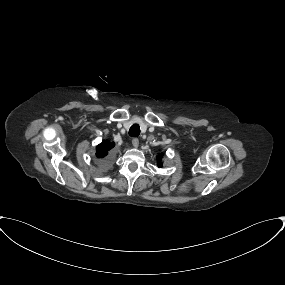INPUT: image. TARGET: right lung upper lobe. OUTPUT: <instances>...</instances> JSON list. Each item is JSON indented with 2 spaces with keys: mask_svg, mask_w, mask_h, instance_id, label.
<instances>
[{
  "mask_svg": "<svg viewBox=\"0 0 285 285\" xmlns=\"http://www.w3.org/2000/svg\"><path fill=\"white\" fill-rule=\"evenodd\" d=\"M114 143L108 140L103 141L101 144L97 146L96 156L99 158H103L107 155L108 151L114 147Z\"/></svg>",
  "mask_w": 285,
  "mask_h": 285,
  "instance_id": "right-lung-upper-lobe-1",
  "label": "right lung upper lobe"
}]
</instances>
